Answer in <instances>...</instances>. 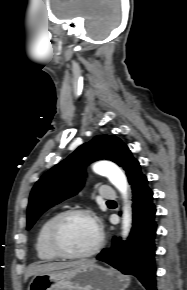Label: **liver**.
Returning a JSON list of instances; mask_svg holds the SVG:
<instances>
[{"label": "liver", "instance_id": "1", "mask_svg": "<svg viewBox=\"0 0 187 290\" xmlns=\"http://www.w3.org/2000/svg\"><path fill=\"white\" fill-rule=\"evenodd\" d=\"M91 263H95V260H85V261H76V262H53V263H44V264H39V265H31L25 274V280H27L32 275H38V274L48 273L52 271L83 267Z\"/></svg>", "mask_w": 187, "mask_h": 290}]
</instances>
